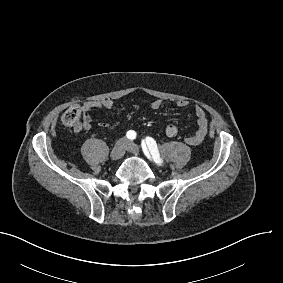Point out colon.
<instances>
[{"instance_id": "obj_1", "label": "colon", "mask_w": 283, "mask_h": 283, "mask_svg": "<svg viewBox=\"0 0 283 283\" xmlns=\"http://www.w3.org/2000/svg\"><path fill=\"white\" fill-rule=\"evenodd\" d=\"M63 123L66 127L79 131L82 127L81 107L74 105L69 107L62 117ZM165 133L169 137H175L179 133V127L176 124H169L165 128Z\"/></svg>"}]
</instances>
